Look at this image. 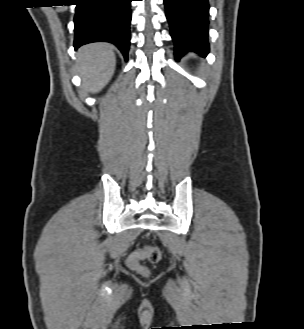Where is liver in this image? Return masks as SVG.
<instances>
[{
	"instance_id": "obj_1",
	"label": "liver",
	"mask_w": 304,
	"mask_h": 329,
	"mask_svg": "<svg viewBox=\"0 0 304 329\" xmlns=\"http://www.w3.org/2000/svg\"><path fill=\"white\" fill-rule=\"evenodd\" d=\"M116 57L109 43H91L77 52L78 71L83 87L91 93H98L111 80L115 71Z\"/></svg>"
}]
</instances>
